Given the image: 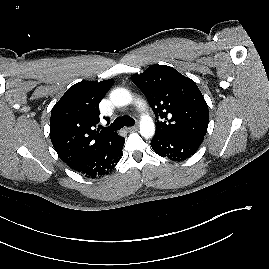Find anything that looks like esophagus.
<instances>
[{
    "label": "esophagus",
    "instance_id": "1",
    "mask_svg": "<svg viewBox=\"0 0 269 269\" xmlns=\"http://www.w3.org/2000/svg\"><path fill=\"white\" fill-rule=\"evenodd\" d=\"M127 131L131 132V131H135L137 129V125L134 126H129L125 128Z\"/></svg>",
    "mask_w": 269,
    "mask_h": 269
}]
</instances>
